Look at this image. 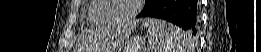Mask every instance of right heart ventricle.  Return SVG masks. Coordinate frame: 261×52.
Returning <instances> with one entry per match:
<instances>
[{
    "label": "right heart ventricle",
    "instance_id": "e07e8e85",
    "mask_svg": "<svg viewBox=\"0 0 261 52\" xmlns=\"http://www.w3.org/2000/svg\"><path fill=\"white\" fill-rule=\"evenodd\" d=\"M101 7L99 0L89 1L88 7L86 9L87 20L92 24H104L102 20L98 17L97 12Z\"/></svg>",
    "mask_w": 261,
    "mask_h": 52
}]
</instances>
